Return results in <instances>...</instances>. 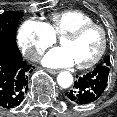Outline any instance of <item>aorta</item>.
<instances>
[{"mask_svg": "<svg viewBox=\"0 0 117 117\" xmlns=\"http://www.w3.org/2000/svg\"><path fill=\"white\" fill-rule=\"evenodd\" d=\"M57 82L62 88H69L73 83V76L67 71L59 73L57 77Z\"/></svg>", "mask_w": 117, "mask_h": 117, "instance_id": "obj_1", "label": "aorta"}]
</instances>
